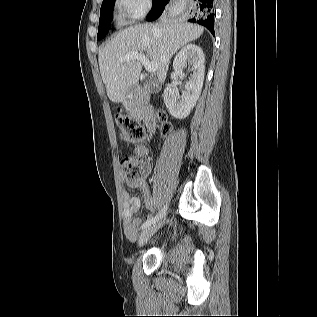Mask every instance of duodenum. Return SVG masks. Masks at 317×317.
Instances as JSON below:
<instances>
[{
    "label": "duodenum",
    "mask_w": 317,
    "mask_h": 317,
    "mask_svg": "<svg viewBox=\"0 0 317 317\" xmlns=\"http://www.w3.org/2000/svg\"><path fill=\"white\" fill-rule=\"evenodd\" d=\"M124 105L127 109L128 115L137 114L142 118L148 129L153 131L155 129V117L152 109L148 107V102L145 100H125Z\"/></svg>",
    "instance_id": "obj_1"
}]
</instances>
